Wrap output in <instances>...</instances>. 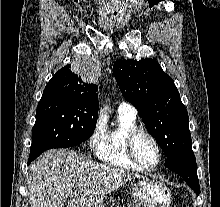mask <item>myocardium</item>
Wrapping results in <instances>:
<instances>
[{
    "mask_svg": "<svg viewBox=\"0 0 220 207\" xmlns=\"http://www.w3.org/2000/svg\"><path fill=\"white\" fill-rule=\"evenodd\" d=\"M145 135L147 136L152 143L154 144L156 150H157V161L150 166H146L140 162L138 159L136 152H135V142L138 136ZM126 151L129 159L138 166L141 170H153L155 169L162 160V149L161 146L156 139V137L147 129L136 127L129 131V133L126 136Z\"/></svg>",
    "mask_w": 220,
    "mask_h": 207,
    "instance_id": "myocardium-1",
    "label": "myocardium"
}]
</instances>
